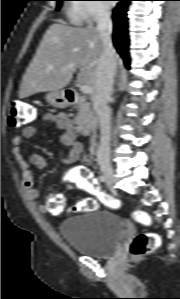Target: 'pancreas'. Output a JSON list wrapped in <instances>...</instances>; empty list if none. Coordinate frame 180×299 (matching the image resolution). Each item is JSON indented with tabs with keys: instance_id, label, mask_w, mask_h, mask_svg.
Segmentation results:
<instances>
[{
	"instance_id": "1",
	"label": "pancreas",
	"mask_w": 180,
	"mask_h": 299,
	"mask_svg": "<svg viewBox=\"0 0 180 299\" xmlns=\"http://www.w3.org/2000/svg\"><path fill=\"white\" fill-rule=\"evenodd\" d=\"M77 109L78 114L75 118V123L79 126L90 124L94 118L90 103L79 104Z\"/></svg>"
}]
</instances>
